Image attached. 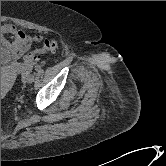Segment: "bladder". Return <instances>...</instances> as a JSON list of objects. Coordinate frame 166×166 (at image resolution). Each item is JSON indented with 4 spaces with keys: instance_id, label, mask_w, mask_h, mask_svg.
<instances>
[{
    "instance_id": "1",
    "label": "bladder",
    "mask_w": 166,
    "mask_h": 166,
    "mask_svg": "<svg viewBox=\"0 0 166 166\" xmlns=\"http://www.w3.org/2000/svg\"><path fill=\"white\" fill-rule=\"evenodd\" d=\"M11 59V51L7 47L1 45V67H5L10 64ZM2 97H4V87L1 85V98Z\"/></svg>"
}]
</instances>
